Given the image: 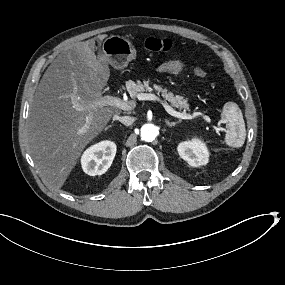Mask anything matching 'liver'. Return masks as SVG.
Instances as JSON below:
<instances>
[{
	"label": "liver",
	"mask_w": 285,
	"mask_h": 285,
	"mask_svg": "<svg viewBox=\"0 0 285 285\" xmlns=\"http://www.w3.org/2000/svg\"><path fill=\"white\" fill-rule=\"evenodd\" d=\"M95 41L75 43L51 63L30 108L27 147L35 166L55 189L63 187L83 151L112 116L122 112L98 100L103 98L110 71L102 63L108 61L106 57L96 58ZM87 117L92 121L82 132Z\"/></svg>",
	"instance_id": "obj_1"
}]
</instances>
